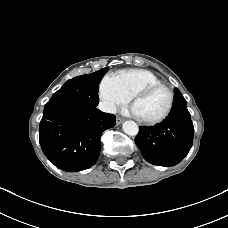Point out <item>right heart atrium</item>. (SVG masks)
<instances>
[{
    "label": "right heart atrium",
    "instance_id": "d8ad5b80",
    "mask_svg": "<svg viewBox=\"0 0 228 228\" xmlns=\"http://www.w3.org/2000/svg\"><path fill=\"white\" fill-rule=\"evenodd\" d=\"M101 107L108 113H114L118 107L127 104L131 96L123 88L117 74H106L99 84Z\"/></svg>",
    "mask_w": 228,
    "mask_h": 228
}]
</instances>
